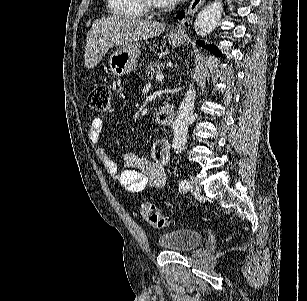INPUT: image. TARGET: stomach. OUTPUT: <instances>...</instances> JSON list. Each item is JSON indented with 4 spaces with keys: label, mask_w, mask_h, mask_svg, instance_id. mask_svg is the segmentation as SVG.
Masks as SVG:
<instances>
[{
    "label": "stomach",
    "mask_w": 307,
    "mask_h": 301,
    "mask_svg": "<svg viewBox=\"0 0 307 301\" xmlns=\"http://www.w3.org/2000/svg\"><path fill=\"white\" fill-rule=\"evenodd\" d=\"M168 40L172 46H182L185 38L183 34L170 32ZM141 44L139 42H129L122 44L112 52L109 58V68L115 76H123L135 70V66L140 58Z\"/></svg>",
    "instance_id": "obj_1"
}]
</instances>
